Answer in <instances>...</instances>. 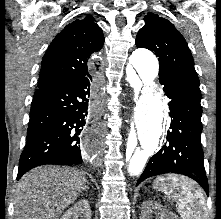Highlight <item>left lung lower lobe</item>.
<instances>
[{
	"label": "left lung lower lobe",
	"instance_id": "0a47b994",
	"mask_svg": "<svg viewBox=\"0 0 221 219\" xmlns=\"http://www.w3.org/2000/svg\"><path fill=\"white\" fill-rule=\"evenodd\" d=\"M162 85L171 99V130L164 148L150 158L136 185L151 176L177 173L197 181L209 195L201 147V96L170 82Z\"/></svg>",
	"mask_w": 221,
	"mask_h": 219
}]
</instances>
